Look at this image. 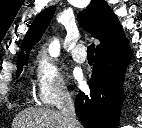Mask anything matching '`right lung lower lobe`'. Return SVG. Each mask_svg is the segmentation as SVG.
Wrapping results in <instances>:
<instances>
[{
	"label": "right lung lower lobe",
	"mask_w": 142,
	"mask_h": 128,
	"mask_svg": "<svg viewBox=\"0 0 142 128\" xmlns=\"http://www.w3.org/2000/svg\"><path fill=\"white\" fill-rule=\"evenodd\" d=\"M131 52L127 41L108 52L96 53L90 94L79 92L75 111L87 128H117L124 101V70Z\"/></svg>",
	"instance_id": "right-lung-lower-lobe-1"
}]
</instances>
